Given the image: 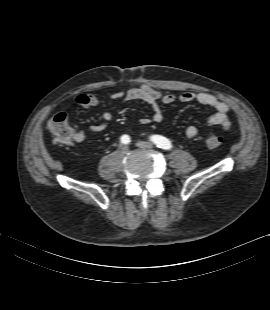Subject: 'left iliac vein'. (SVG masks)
<instances>
[{"label":"left iliac vein","instance_id":"obj_1","mask_svg":"<svg viewBox=\"0 0 270 310\" xmlns=\"http://www.w3.org/2000/svg\"><path fill=\"white\" fill-rule=\"evenodd\" d=\"M136 145L139 148H144V149H151L153 145L150 142H145V141H138Z\"/></svg>","mask_w":270,"mask_h":310}]
</instances>
